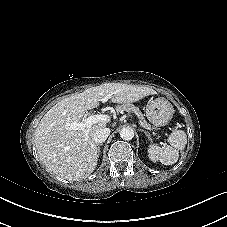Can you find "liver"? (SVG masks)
Returning a JSON list of instances; mask_svg holds the SVG:
<instances>
[{"label": "liver", "mask_w": 227, "mask_h": 227, "mask_svg": "<svg viewBox=\"0 0 227 227\" xmlns=\"http://www.w3.org/2000/svg\"><path fill=\"white\" fill-rule=\"evenodd\" d=\"M156 94L145 86L108 83L75 93L54 105L41 119L34 137L39 160L46 170L69 181L89 176L98 162L93 135L106 123L98 122L85 130H72L67 123L80 122L84 114L105 98L113 103H133Z\"/></svg>", "instance_id": "1"}]
</instances>
